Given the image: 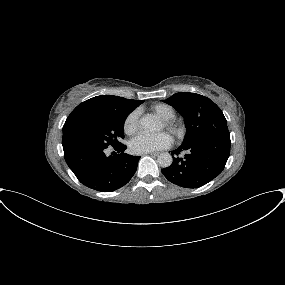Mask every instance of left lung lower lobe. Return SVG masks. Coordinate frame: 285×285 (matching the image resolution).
<instances>
[{"instance_id":"obj_1","label":"left lung lower lobe","mask_w":285,"mask_h":285,"mask_svg":"<svg viewBox=\"0 0 285 285\" xmlns=\"http://www.w3.org/2000/svg\"><path fill=\"white\" fill-rule=\"evenodd\" d=\"M230 144V139L215 136L182 144L172 153H189L184 158H173L172 164L161 171L173 184L184 188L201 187L222 172L230 154Z\"/></svg>"}]
</instances>
